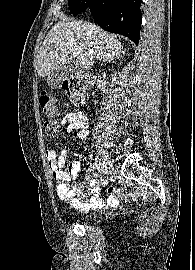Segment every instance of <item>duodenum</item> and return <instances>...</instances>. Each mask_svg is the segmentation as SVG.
Instances as JSON below:
<instances>
[{
  "label": "duodenum",
  "instance_id": "1",
  "mask_svg": "<svg viewBox=\"0 0 195 270\" xmlns=\"http://www.w3.org/2000/svg\"><path fill=\"white\" fill-rule=\"evenodd\" d=\"M86 82L87 83H90L91 82V78L88 76V77H86Z\"/></svg>",
  "mask_w": 195,
  "mask_h": 270
}]
</instances>
